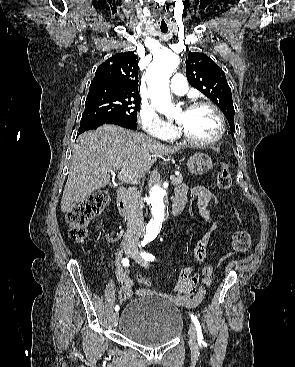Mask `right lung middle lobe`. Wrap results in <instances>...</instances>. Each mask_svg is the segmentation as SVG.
Returning <instances> with one entry per match:
<instances>
[{
  "mask_svg": "<svg viewBox=\"0 0 295 367\" xmlns=\"http://www.w3.org/2000/svg\"><path fill=\"white\" fill-rule=\"evenodd\" d=\"M140 97L89 91L80 125L113 119L137 120Z\"/></svg>",
  "mask_w": 295,
  "mask_h": 367,
  "instance_id": "obj_1",
  "label": "right lung middle lobe"
}]
</instances>
